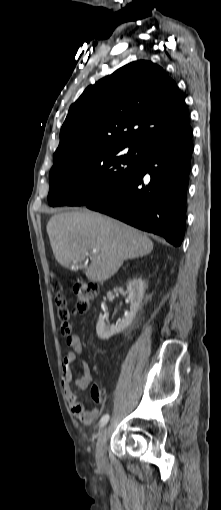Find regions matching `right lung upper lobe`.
<instances>
[{"mask_svg":"<svg viewBox=\"0 0 221 510\" xmlns=\"http://www.w3.org/2000/svg\"><path fill=\"white\" fill-rule=\"evenodd\" d=\"M188 127L185 100L176 83L160 66L135 61L88 86L70 106L54 165L103 146L142 148Z\"/></svg>","mask_w":221,"mask_h":510,"instance_id":"cb5924a9","label":"right lung upper lobe"}]
</instances>
